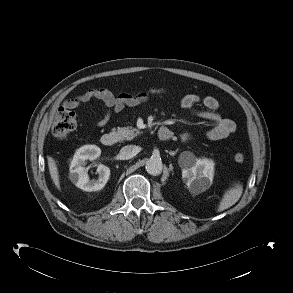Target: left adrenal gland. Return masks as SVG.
<instances>
[{"label": "left adrenal gland", "instance_id": "1", "mask_svg": "<svg viewBox=\"0 0 293 293\" xmlns=\"http://www.w3.org/2000/svg\"><path fill=\"white\" fill-rule=\"evenodd\" d=\"M178 151H179L178 149L175 150V151H170L169 154H170L171 156H175V155L177 154Z\"/></svg>", "mask_w": 293, "mask_h": 293}]
</instances>
